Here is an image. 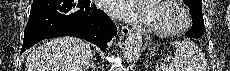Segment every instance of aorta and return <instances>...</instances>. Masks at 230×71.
Here are the masks:
<instances>
[{"label":"aorta","instance_id":"762f6f07","mask_svg":"<svg viewBox=\"0 0 230 71\" xmlns=\"http://www.w3.org/2000/svg\"><path fill=\"white\" fill-rule=\"evenodd\" d=\"M143 44L142 35L139 32H132L124 42L123 54L128 62L138 59Z\"/></svg>","mask_w":230,"mask_h":71}]
</instances>
